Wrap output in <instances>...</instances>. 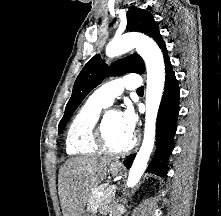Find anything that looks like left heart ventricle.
Wrapping results in <instances>:
<instances>
[{"mask_svg": "<svg viewBox=\"0 0 221 216\" xmlns=\"http://www.w3.org/2000/svg\"><path fill=\"white\" fill-rule=\"evenodd\" d=\"M105 132L109 144L115 148L126 146L132 139V136H129L124 130L120 114L115 111L107 115Z\"/></svg>", "mask_w": 221, "mask_h": 216, "instance_id": "left-heart-ventricle-1", "label": "left heart ventricle"}]
</instances>
